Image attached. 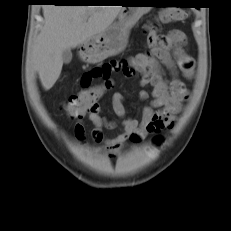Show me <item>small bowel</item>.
<instances>
[{"label": "small bowel", "instance_id": "1", "mask_svg": "<svg viewBox=\"0 0 231 231\" xmlns=\"http://www.w3.org/2000/svg\"><path fill=\"white\" fill-rule=\"evenodd\" d=\"M160 40V45L155 40ZM150 49L128 59L111 60L97 65L85 72L81 78L83 89L90 87L94 80H101L111 84V76L120 73L130 77L134 72L141 75L140 85L151 86V91H140L141 100L150 99L142 109L141 120L128 116L125 108V97L121 93L112 95V108L120 120L122 132L114 138H106L104 128H112L113 123L107 121L97 106L87 113L93 124L92 138L98 149L105 152L109 158L116 157L124 148L126 142H138L151 133H158L164 129L172 128L181 112L183 103L189 98V92L178 77L181 72L186 78L194 74V61L186 53V36L182 31H173L166 36H157V29L151 32ZM164 69L171 77L165 76ZM76 138L85 140V128L82 120L74 126Z\"/></svg>", "mask_w": 231, "mask_h": 231}]
</instances>
